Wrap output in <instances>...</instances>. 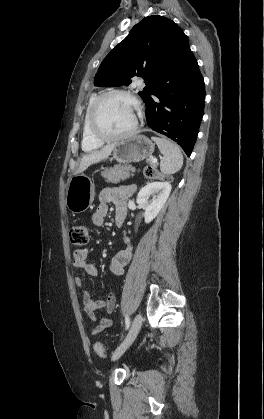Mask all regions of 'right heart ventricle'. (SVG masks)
Wrapping results in <instances>:
<instances>
[{
  "mask_svg": "<svg viewBox=\"0 0 264 419\" xmlns=\"http://www.w3.org/2000/svg\"><path fill=\"white\" fill-rule=\"evenodd\" d=\"M97 96H98L97 93L91 94V96L88 99L86 109H85V113H84L83 126H82V136H81V147L85 152H90V151L96 150L102 144V142L96 140L91 135V133L89 131V126H88V118H89L90 109H91V106H92L93 102L97 98Z\"/></svg>",
  "mask_w": 264,
  "mask_h": 419,
  "instance_id": "right-heart-ventricle-1",
  "label": "right heart ventricle"
}]
</instances>
